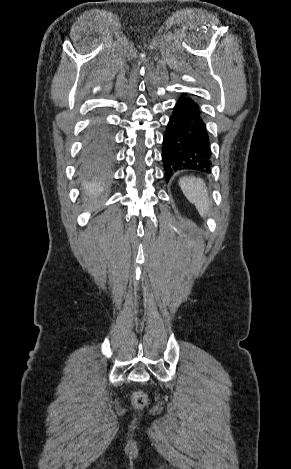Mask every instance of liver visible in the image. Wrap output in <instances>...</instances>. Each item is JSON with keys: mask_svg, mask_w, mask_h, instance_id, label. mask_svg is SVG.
Instances as JSON below:
<instances>
[{"mask_svg": "<svg viewBox=\"0 0 291 469\" xmlns=\"http://www.w3.org/2000/svg\"><path fill=\"white\" fill-rule=\"evenodd\" d=\"M83 188L90 201H96L99 194L102 193L103 187L96 184L84 183Z\"/></svg>", "mask_w": 291, "mask_h": 469, "instance_id": "1", "label": "liver"}]
</instances>
